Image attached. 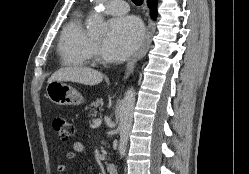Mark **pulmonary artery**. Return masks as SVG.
Wrapping results in <instances>:
<instances>
[{"instance_id": "obj_1", "label": "pulmonary artery", "mask_w": 249, "mask_h": 174, "mask_svg": "<svg viewBox=\"0 0 249 174\" xmlns=\"http://www.w3.org/2000/svg\"><path fill=\"white\" fill-rule=\"evenodd\" d=\"M103 9L108 13L120 15L128 12L129 5L124 0H106Z\"/></svg>"}]
</instances>
